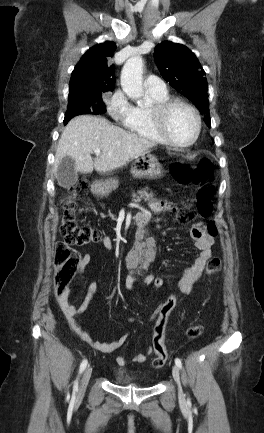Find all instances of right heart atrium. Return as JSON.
Segmentation results:
<instances>
[{"mask_svg":"<svg viewBox=\"0 0 264 433\" xmlns=\"http://www.w3.org/2000/svg\"><path fill=\"white\" fill-rule=\"evenodd\" d=\"M106 109L112 119L124 125L132 120L135 113V106L122 90H116L106 99Z\"/></svg>","mask_w":264,"mask_h":433,"instance_id":"obj_1","label":"right heart atrium"}]
</instances>
